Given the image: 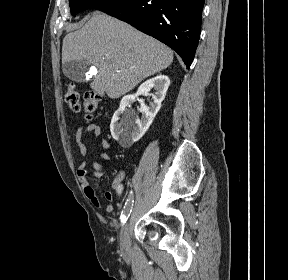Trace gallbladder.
Returning <instances> with one entry per match:
<instances>
[{
  "label": "gallbladder",
  "mask_w": 288,
  "mask_h": 280,
  "mask_svg": "<svg viewBox=\"0 0 288 280\" xmlns=\"http://www.w3.org/2000/svg\"><path fill=\"white\" fill-rule=\"evenodd\" d=\"M89 69V62L86 60H71L62 65L64 75L72 81L85 82V74Z\"/></svg>",
  "instance_id": "1"
}]
</instances>
